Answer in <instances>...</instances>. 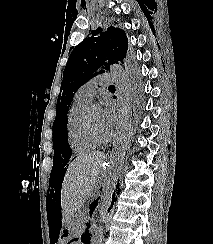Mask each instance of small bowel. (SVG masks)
Here are the masks:
<instances>
[{"mask_svg":"<svg viewBox=\"0 0 213 244\" xmlns=\"http://www.w3.org/2000/svg\"><path fill=\"white\" fill-rule=\"evenodd\" d=\"M70 244H86V241L84 238H80L72 241Z\"/></svg>","mask_w":213,"mask_h":244,"instance_id":"obj_1","label":"small bowel"}]
</instances>
